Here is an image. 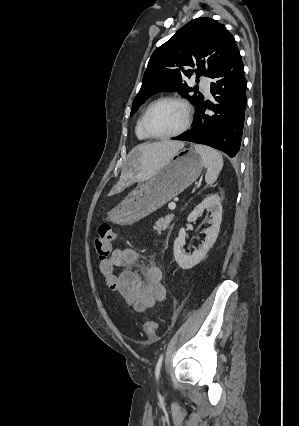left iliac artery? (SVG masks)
Instances as JSON below:
<instances>
[{
	"instance_id": "1",
	"label": "left iliac artery",
	"mask_w": 299,
	"mask_h": 426,
	"mask_svg": "<svg viewBox=\"0 0 299 426\" xmlns=\"http://www.w3.org/2000/svg\"><path fill=\"white\" fill-rule=\"evenodd\" d=\"M162 361H163V353L160 355L159 360H158L157 365H156V369H155L156 380H159Z\"/></svg>"
}]
</instances>
